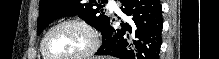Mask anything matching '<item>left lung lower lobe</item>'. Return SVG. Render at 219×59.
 <instances>
[{"label": "left lung lower lobe", "instance_id": "left-lung-lower-lobe-1", "mask_svg": "<svg viewBox=\"0 0 219 59\" xmlns=\"http://www.w3.org/2000/svg\"><path fill=\"white\" fill-rule=\"evenodd\" d=\"M128 16L121 29H114L110 19L101 31L102 45L95 53L120 59H159L162 8L159 0H120Z\"/></svg>", "mask_w": 219, "mask_h": 59}]
</instances>
